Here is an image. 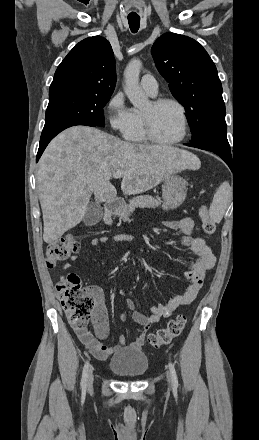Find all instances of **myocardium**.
Returning <instances> with one entry per match:
<instances>
[{"label": "myocardium", "mask_w": 259, "mask_h": 440, "mask_svg": "<svg viewBox=\"0 0 259 440\" xmlns=\"http://www.w3.org/2000/svg\"><path fill=\"white\" fill-rule=\"evenodd\" d=\"M151 103H152L153 107H155V108L160 107L165 104H172V105L176 106L180 112V115H181L182 133L178 138H176L174 140H163L156 135L154 128H153V124H152V120H151L150 115H148L146 113H142L144 131H145L147 138L150 141H152L156 144H160V145H175V144L182 142L186 138V136L188 134V130H189L188 118H187V113H186V109H185L184 105L181 102H179L178 100H176L174 98H168V97L154 99Z\"/></svg>", "instance_id": "1"}]
</instances>
